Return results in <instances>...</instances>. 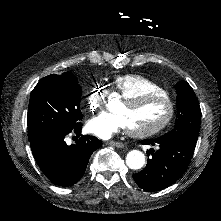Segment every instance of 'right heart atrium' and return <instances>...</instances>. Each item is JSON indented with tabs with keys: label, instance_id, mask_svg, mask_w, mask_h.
<instances>
[{
	"label": "right heart atrium",
	"instance_id": "right-heart-atrium-1",
	"mask_svg": "<svg viewBox=\"0 0 221 221\" xmlns=\"http://www.w3.org/2000/svg\"><path fill=\"white\" fill-rule=\"evenodd\" d=\"M93 94H94V96L89 98V101H88L89 103L88 104H89L90 108L94 109V108L98 107V104H99L98 103L99 102L98 99L102 98L104 93H103L102 89L98 88V89L94 90Z\"/></svg>",
	"mask_w": 221,
	"mask_h": 221
}]
</instances>
